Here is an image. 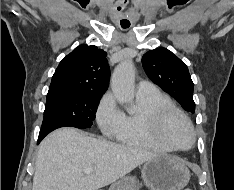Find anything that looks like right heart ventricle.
Masks as SVG:
<instances>
[{
    "instance_id": "right-heart-ventricle-1",
    "label": "right heart ventricle",
    "mask_w": 234,
    "mask_h": 190,
    "mask_svg": "<svg viewBox=\"0 0 234 190\" xmlns=\"http://www.w3.org/2000/svg\"><path fill=\"white\" fill-rule=\"evenodd\" d=\"M138 109L136 112L123 113L122 122L116 138L119 142L140 149L170 151L155 137L151 126L153 111L166 104H172L169 97L160 91L136 95Z\"/></svg>"
}]
</instances>
